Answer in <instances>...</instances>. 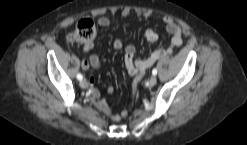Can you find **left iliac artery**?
<instances>
[{"mask_svg": "<svg viewBox=\"0 0 247 145\" xmlns=\"http://www.w3.org/2000/svg\"><path fill=\"white\" fill-rule=\"evenodd\" d=\"M152 74H153V75H156V74H157V69H156V68H154V69L152 70Z\"/></svg>", "mask_w": 247, "mask_h": 145, "instance_id": "44dca946", "label": "left iliac artery"}]
</instances>
